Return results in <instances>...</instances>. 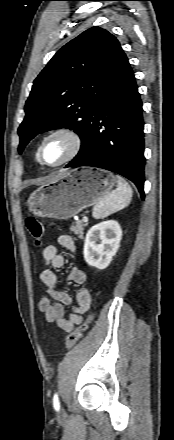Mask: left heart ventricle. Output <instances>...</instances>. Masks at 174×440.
Returning a JSON list of instances; mask_svg holds the SVG:
<instances>
[{"label": "left heart ventricle", "instance_id": "obj_1", "mask_svg": "<svg viewBox=\"0 0 174 440\" xmlns=\"http://www.w3.org/2000/svg\"><path fill=\"white\" fill-rule=\"evenodd\" d=\"M69 141L62 136H56L46 141L42 149V159L47 164L60 162L68 153Z\"/></svg>", "mask_w": 174, "mask_h": 440}]
</instances>
